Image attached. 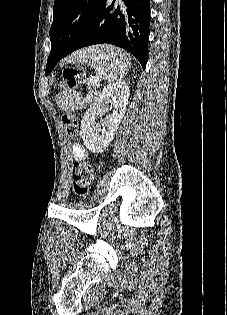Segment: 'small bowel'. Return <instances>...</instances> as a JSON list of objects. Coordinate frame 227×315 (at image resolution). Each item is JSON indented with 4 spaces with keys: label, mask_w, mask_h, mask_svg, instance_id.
<instances>
[{
    "label": "small bowel",
    "mask_w": 227,
    "mask_h": 315,
    "mask_svg": "<svg viewBox=\"0 0 227 315\" xmlns=\"http://www.w3.org/2000/svg\"><path fill=\"white\" fill-rule=\"evenodd\" d=\"M72 155L76 161H82L85 158V151L79 144L75 143L72 146Z\"/></svg>",
    "instance_id": "small-bowel-1"
}]
</instances>
